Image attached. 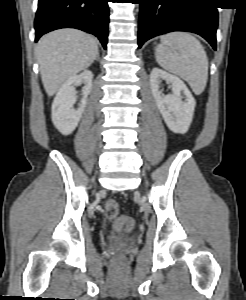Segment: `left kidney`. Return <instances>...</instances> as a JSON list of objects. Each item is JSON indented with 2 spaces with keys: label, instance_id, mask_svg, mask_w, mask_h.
I'll list each match as a JSON object with an SVG mask.
<instances>
[{
  "label": "left kidney",
  "instance_id": "1",
  "mask_svg": "<svg viewBox=\"0 0 246 300\" xmlns=\"http://www.w3.org/2000/svg\"><path fill=\"white\" fill-rule=\"evenodd\" d=\"M163 80L171 84V94H162ZM150 86L156 105L168 128L174 133H186L193 119L196 101L185 83L175 75L154 68L150 74ZM182 94L185 101H182Z\"/></svg>",
  "mask_w": 246,
  "mask_h": 300
}]
</instances>
